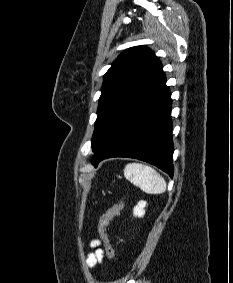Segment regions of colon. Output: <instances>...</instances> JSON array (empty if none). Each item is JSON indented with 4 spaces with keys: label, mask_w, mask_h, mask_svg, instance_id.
Listing matches in <instances>:
<instances>
[{
    "label": "colon",
    "mask_w": 233,
    "mask_h": 283,
    "mask_svg": "<svg viewBox=\"0 0 233 283\" xmlns=\"http://www.w3.org/2000/svg\"><path fill=\"white\" fill-rule=\"evenodd\" d=\"M124 204H125V198L123 196H120L117 203L111 206L101 215L98 223V232L103 242L106 255L110 260L115 259V250L109 240L107 228L111 220L121 213V211L124 208Z\"/></svg>",
    "instance_id": "1"
}]
</instances>
